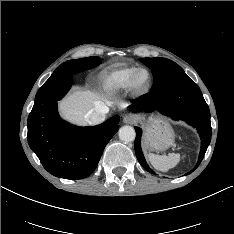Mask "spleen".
I'll list each match as a JSON object with an SVG mask.
<instances>
[{"mask_svg": "<svg viewBox=\"0 0 234 234\" xmlns=\"http://www.w3.org/2000/svg\"><path fill=\"white\" fill-rule=\"evenodd\" d=\"M180 159V154L175 153H170L168 155H157L154 153L148 154V160L150 161L151 165L155 169L163 172L175 167L179 163Z\"/></svg>", "mask_w": 234, "mask_h": 234, "instance_id": "3e777b00", "label": "spleen"}]
</instances>
